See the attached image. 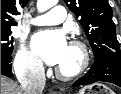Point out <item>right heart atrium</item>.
Returning <instances> with one entry per match:
<instances>
[{
    "label": "right heart atrium",
    "mask_w": 121,
    "mask_h": 94,
    "mask_svg": "<svg viewBox=\"0 0 121 94\" xmlns=\"http://www.w3.org/2000/svg\"><path fill=\"white\" fill-rule=\"evenodd\" d=\"M14 70L19 78H39L43 74L41 62L24 46H21L15 56Z\"/></svg>",
    "instance_id": "right-heart-atrium-1"
}]
</instances>
